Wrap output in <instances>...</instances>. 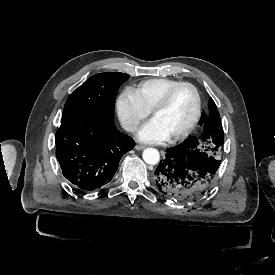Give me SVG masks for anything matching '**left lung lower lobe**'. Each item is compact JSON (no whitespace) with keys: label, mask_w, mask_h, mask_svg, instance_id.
Masks as SVG:
<instances>
[{"label":"left lung lower lobe","mask_w":275,"mask_h":275,"mask_svg":"<svg viewBox=\"0 0 275 275\" xmlns=\"http://www.w3.org/2000/svg\"><path fill=\"white\" fill-rule=\"evenodd\" d=\"M172 148L166 149L165 158L154 172L156 187L165 196L178 200L203 195L214 184L216 172L192 162Z\"/></svg>","instance_id":"obj_1"}]
</instances>
